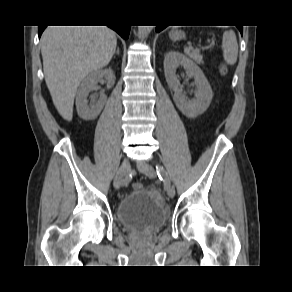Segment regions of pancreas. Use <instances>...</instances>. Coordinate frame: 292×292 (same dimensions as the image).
<instances>
[{
	"label": "pancreas",
	"instance_id": "obj_1",
	"mask_svg": "<svg viewBox=\"0 0 292 292\" xmlns=\"http://www.w3.org/2000/svg\"><path fill=\"white\" fill-rule=\"evenodd\" d=\"M191 59H193L198 64H203V57L197 49H189L185 52Z\"/></svg>",
	"mask_w": 292,
	"mask_h": 292
}]
</instances>
